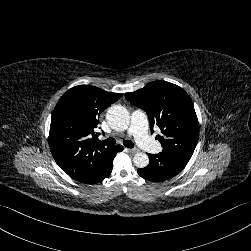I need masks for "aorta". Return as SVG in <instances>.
<instances>
[{
	"label": "aorta",
	"instance_id": "762f6f07",
	"mask_svg": "<svg viewBox=\"0 0 251 251\" xmlns=\"http://www.w3.org/2000/svg\"><path fill=\"white\" fill-rule=\"evenodd\" d=\"M107 124L117 132H125L130 126V116L123 106L111 107L106 115ZM134 165L145 168L149 164V157L143 152H137L133 156Z\"/></svg>",
	"mask_w": 251,
	"mask_h": 251
}]
</instances>
